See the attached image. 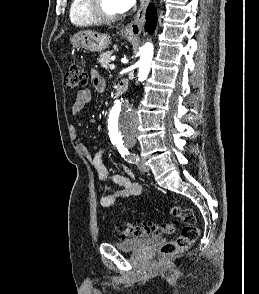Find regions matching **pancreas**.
Returning <instances> with one entry per match:
<instances>
[{"instance_id": "cf45deb5", "label": "pancreas", "mask_w": 259, "mask_h": 294, "mask_svg": "<svg viewBox=\"0 0 259 294\" xmlns=\"http://www.w3.org/2000/svg\"><path fill=\"white\" fill-rule=\"evenodd\" d=\"M112 54H113L112 51H107V52L100 54L97 59L98 63H100L102 67L108 68L109 62H110V57Z\"/></svg>"}]
</instances>
